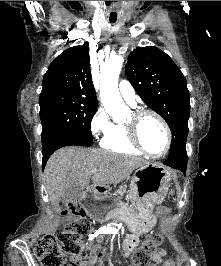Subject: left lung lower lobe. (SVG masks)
I'll return each mask as SVG.
<instances>
[{"label": "left lung lower lobe", "mask_w": 221, "mask_h": 266, "mask_svg": "<svg viewBox=\"0 0 221 266\" xmlns=\"http://www.w3.org/2000/svg\"><path fill=\"white\" fill-rule=\"evenodd\" d=\"M165 164L172 168L181 170L183 174L185 175L186 167H187L186 149L183 151H177V152L171 153L168 159L165 161Z\"/></svg>", "instance_id": "1"}]
</instances>
